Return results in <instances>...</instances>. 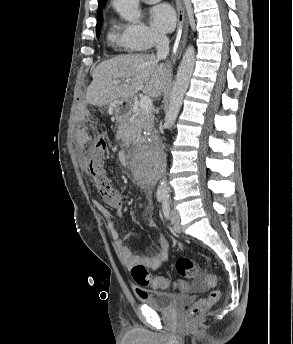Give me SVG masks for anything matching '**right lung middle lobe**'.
<instances>
[{"mask_svg":"<svg viewBox=\"0 0 293 344\" xmlns=\"http://www.w3.org/2000/svg\"><path fill=\"white\" fill-rule=\"evenodd\" d=\"M102 22H103V18H102V14H101V17H99V18L97 19V25H96L97 36H98L99 33H100V29H101V26H102Z\"/></svg>","mask_w":293,"mask_h":344,"instance_id":"1","label":"right lung middle lobe"}]
</instances>
